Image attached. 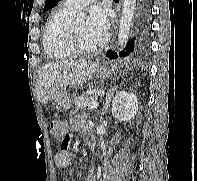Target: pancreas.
Wrapping results in <instances>:
<instances>
[{
    "mask_svg": "<svg viewBox=\"0 0 197 181\" xmlns=\"http://www.w3.org/2000/svg\"><path fill=\"white\" fill-rule=\"evenodd\" d=\"M98 96L96 94L84 93L74 100L76 109H83L88 107L92 102L97 101Z\"/></svg>",
    "mask_w": 197,
    "mask_h": 181,
    "instance_id": "cf45deb5",
    "label": "pancreas"
}]
</instances>
